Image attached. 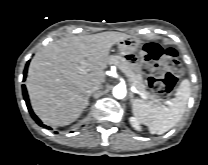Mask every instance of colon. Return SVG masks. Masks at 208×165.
Returning a JSON list of instances; mask_svg holds the SVG:
<instances>
[{"mask_svg":"<svg viewBox=\"0 0 208 165\" xmlns=\"http://www.w3.org/2000/svg\"><path fill=\"white\" fill-rule=\"evenodd\" d=\"M142 71L149 75V85L158 96L170 95L178 82L181 63L174 48H162L158 44L148 43L141 52Z\"/></svg>","mask_w":208,"mask_h":165,"instance_id":"5ec220e1","label":"colon"}]
</instances>
